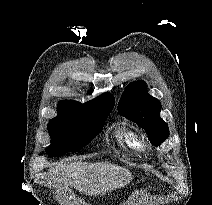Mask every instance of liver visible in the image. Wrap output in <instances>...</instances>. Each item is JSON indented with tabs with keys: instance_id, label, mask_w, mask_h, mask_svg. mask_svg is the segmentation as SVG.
<instances>
[{
	"instance_id": "obj_1",
	"label": "liver",
	"mask_w": 212,
	"mask_h": 205,
	"mask_svg": "<svg viewBox=\"0 0 212 205\" xmlns=\"http://www.w3.org/2000/svg\"><path fill=\"white\" fill-rule=\"evenodd\" d=\"M53 186L58 189L72 186L87 195H104L127 185L131 178L127 170L109 163L70 162L49 169Z\"/></svg>"
}]
</instances>
